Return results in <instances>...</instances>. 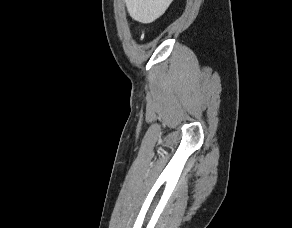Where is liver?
Here are the masks:
<instances>
[{
	"mask_svg": "<svg viewBox=\"0 0 292 228\" xmlns=\"http://www.w3.org/2000/svg\"><path fill=\"white\" fill-rule=\"evenodd\" d=\"M173 0H125L132 19L151 23L163 15Z\"/></svg>",
	"mask_w": 292,
	"mask_h": 228,
	"instance_id": "6515ba94",
	"label": "liver"
}]
</instances>
